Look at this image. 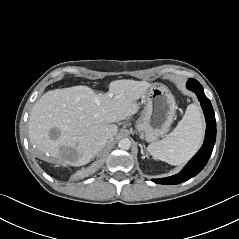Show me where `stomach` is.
Returning <instances> with one entry per match:
<instances>
[{"label":"stomach","mask_w":239,"mask_h":239,"mask_svg":"<svg viewBox=\"0 0 239 239\" xmlns=\"http://www.w3.org/2000/svg\"><path fill=\"white\" fill-rule=\"evenodd\" d=\"M144 98V111L135 127L142 139L154 142L170 129L177 106L170 90L159 83L153 84Z\"/></svg>","instance_id":"1"}]
</instances>
